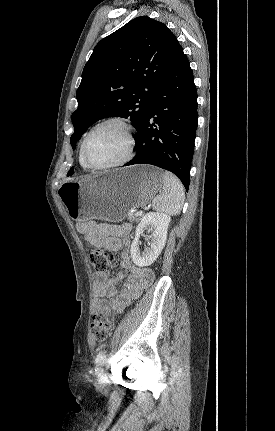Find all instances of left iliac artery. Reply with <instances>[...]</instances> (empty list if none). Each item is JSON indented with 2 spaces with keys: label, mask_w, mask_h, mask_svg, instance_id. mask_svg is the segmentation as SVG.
<instances>
[{
  "label": "left iliac artery",
  "mask_w": 275,
  "mask_h": 431,
  "mask_svg": "<svg viewBox=\"0 0 275 431\" xmlns=\"http://www.w3.org/2000/svg\"><path fill=\"white\" fill-rule=\"evenodd\" d=\"M105 352L101 351L97 354L96 358H95V371L97 374H101L103 372V365L105 363Z\"/></svg>",
  "instance_id": "44dca946"
}]
</instances>
